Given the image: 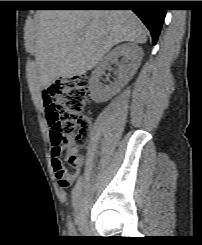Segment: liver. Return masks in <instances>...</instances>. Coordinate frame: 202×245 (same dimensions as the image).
Segmentation results:
<instances>
[{"label":"liver","mask_w":202,"mask_h":245,"mask_svg":"<svg viewBox=\"0 0 202 245\" xmlns=\"http://www.w3.org/2000/svg\"><path fill=\"white\" fill-rule=\"evenodd\" d=\"M29 43L35 48L40 85L83 75L116 44L147 41L131 10H41Z\"/></svg>","instance_id":"liver-1"}]
</instances>
